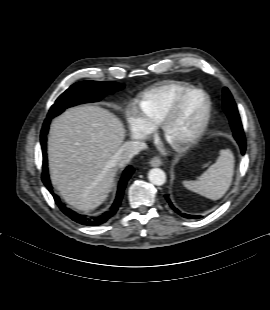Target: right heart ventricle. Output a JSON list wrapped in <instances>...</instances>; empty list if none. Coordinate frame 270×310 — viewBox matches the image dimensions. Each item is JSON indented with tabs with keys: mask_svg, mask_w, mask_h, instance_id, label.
Instances as JSON below:
<instances>
[{
	"mask_svg": "<svg viewBox=\"0 0 270 310\" xmlns=\"http://www.w3.org/2000/svg\"><path fill=\"white\" fill-rule=\"evenodd\" d=\"M191 85L180 81H166L146 90L138 101V109L151 126H158L175 99L190 89Z\"/></svg>",
	"mask_w": 270,
	"mask_h": 310,
	"instance_id": "e07e8e85",
	"label": "right heart ventricle"
}]
</instances>
